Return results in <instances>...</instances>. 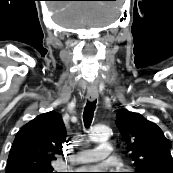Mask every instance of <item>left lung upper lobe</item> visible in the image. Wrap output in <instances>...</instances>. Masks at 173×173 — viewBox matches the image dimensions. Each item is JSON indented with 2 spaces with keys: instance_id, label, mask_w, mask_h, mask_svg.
<instances>
[{
  "instance_id": "left-lung-upper-lobe-1",
  "label": "left lung upper lobe",
  "mask_w": 173,
  "mask_h": 173,
  "mask_svg": "<svg viewBox=\"0 0 173 173\" xmlns=\"http://www.w3.org/2000/svg\"><path fill=\"white\" fill-rule=\"evenodd\" d=\"M116 125L134 161V173H173L170 142L155 123L138 113L121 110Z\"/></svg>"
}]
</instances>
